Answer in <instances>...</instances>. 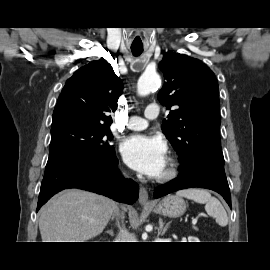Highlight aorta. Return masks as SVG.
Listing matches in <instances>:
<instances>
[{
	"instance_id": "obj_1",
	"label": "aorta",
	"mask_w": 270,
	"mask_h": 270,
	"mask_svg": "<svg viewBox=\"0 0 270 270\" xmlns=\"http://www.w3.org/2000/svg\"><path fill=\"white\" fill-rule=\"evenodd\" d=\"M161 85L160 76L157 73H144L138 80L137 91L140 96H146Z\"/></svg>"
}]
</instances>
